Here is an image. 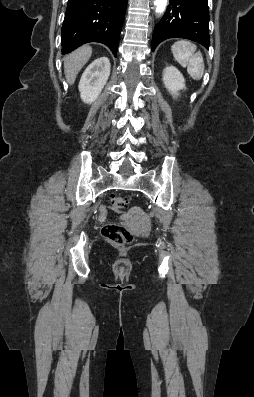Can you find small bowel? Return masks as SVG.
I'll return each instance as SVG.
<instances>
[{"label": "small bowel", "mask_w": 254, "mask_h": 397, "mask_svg": "<svg viewBox=\"0 0 254 397\" xmlns=\"http://www.w3.org/2000/svg\"><path fill=\"white\" fill-rule=\"evenodd\" d=\"M100 214H99V220L101 222H105L107 219V208L106 206H101L99 208ZM131 217H137L138 220L141 223H144L146 221L143 212L140 209H134L133 211L129 212L128 214L125 215V218H131Z\"/></svg>", "instance_id": "small-bowel-1"}]
</instances>
